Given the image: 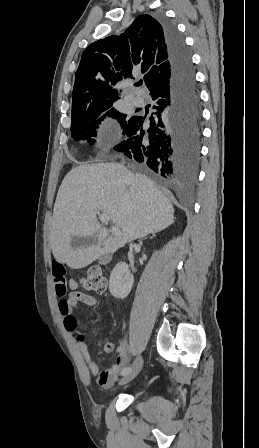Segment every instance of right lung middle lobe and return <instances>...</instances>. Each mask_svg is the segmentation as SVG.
<instances>
[{
  "label": "right lung middle lobe",
  "instance_id": "obj_1",
  "mask_svg": "<svg viewBox=\"0 0 259 448\" xmlns=\"http://www.w3.org/2000/svg\"><path fill=\"white\" fill-rule=\"evenodd\" d=\"M112 106L93 107L72 113L71 136L75 140H86L89 144L95 143L96 140L92 137L96 136V128H98L99 123L103 120L104 115L101 116V114L104 111H107L105 115L118 119L124 133L127 126L134 119V116L128 118L126 114L118 112Z\"/></svg>",
  "mask_w": 259,
  "mask_h": 448
}]
</instances>
